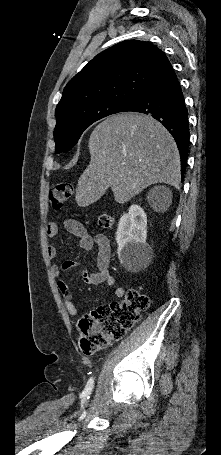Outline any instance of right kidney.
I'll return each instance as SVG.
<instances>
[{"mask_svg":"<svg viewBox=\"0 0 221 455\" xmlns=\"http://www.w3.org/2000/svg\"><path fill=\"white\" fill-rule=\"evenodd\" d=\"M146 237L147 216L139 205L133 204L120 218L116 232L118 258L125 269H138L150 259L152 251Z\"/></svg>","mask_w":221,"mask_h":455,"instance_id":"ca27d5eb","label":"right kidney"}]
</instances>
